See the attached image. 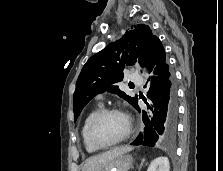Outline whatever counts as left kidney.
<instances>
[{"label": "left kidney", "mask_w": 223, "mask_h": 171, "mask_svg": "<svg viewBox=\"0 0 223 171\" xmlns=\"http://www.w3.org/2000/svg\"><path fill=\"white\" fill-rule=\"evenodd\" d=\"M169 160L165 156L154 159L149 165L147 171H169Z\"/></svg>", "instance_id": "5707ae66"}]
</instances>
